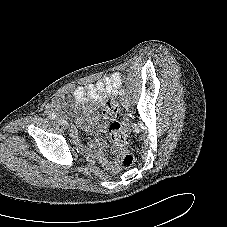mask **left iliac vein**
I'll list each match as a JSON object with an SVG mask.
<instances>
[{
	"label": "left iliac vein",
	"mask_w": 227,
	"mask_h": 227,
	"mask_svg": "<svg viewBox=\"0 0 227 227\" xmlns=\"http://www.w3.org/2000/svg\"><path fill=\"white\" fill-rule=\"evenodd\" d=\"M121 103H122V106L125 107V108H129V106H130L129 101L125 98L121 99Z\"/></svg>",
	"instance_id": "1"
}]
</instances>
